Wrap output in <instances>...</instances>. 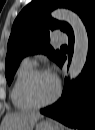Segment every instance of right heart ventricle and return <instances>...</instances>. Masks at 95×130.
Listing matches in <instances>:
<instances>
[{"mask_svg": "<svg viewBox=\"0 0 95 130\" xmlns=\"http://www.w3.org/2000/svg\"><path fill=\"white\" fill-rule=\"evenodd\" d=\"M33 70V65L27 62H22L18 67L13 84L11 87V100L16 109L20 111H30L34 109L28 104L23 96V84L28 74Z\"/></svg>", "mask_w": 95, "mask_h": 130, "instance_id": "right-heart-ventricle-1", "label": "right heart ventricle"}]
</instances>
